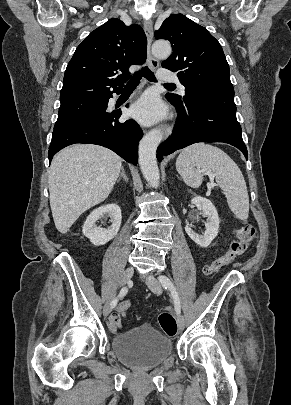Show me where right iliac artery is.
I'll return each instance as SVG.
<instances>
[{"label": "right iliac artery", "instance_id": "right-iliac-artery-1", "mask_svg": "<svg viewBox=\"0 0 291 405\" xmlns=\"http://www.w3.org/2000/svg\"><path fill=\"white\" fill-rule=\"evenodd\" d=\"M127 291H128L127 287H123L121 289V291L118 294V297L113 299L112 302H111L112 308H114L117 305V302H118L119 299H122L127 294Z\"/></svg>", "mask_w": 291, "mask_h": 405}]
</instances>
